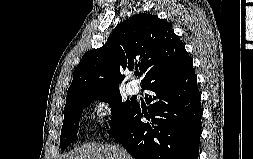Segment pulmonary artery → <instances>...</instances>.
<instances>
[{
    "mask_svg": "<svg viewBox=\"0 0 253 159\" xmlns=\"http://www.w3.org/2000/svg\"><path fill=\"white\" fill-rule=\"evenodd\" d=\"M138 89H139L138 85L134 82H131L127 85V92L130 95L136 94L138 92Z\"/></svg>",
    "mask_w": 253,
    "mask_h": 159,
    "instance_id": "pulmonary-artery-1",
    "label": "pulmonary artery"
}]
</instances>
